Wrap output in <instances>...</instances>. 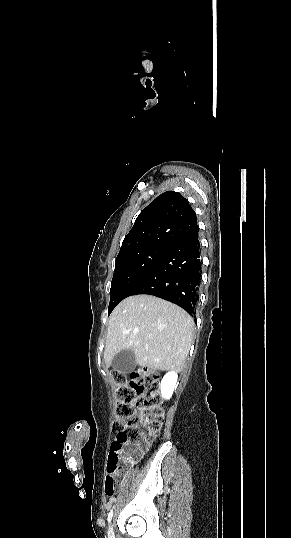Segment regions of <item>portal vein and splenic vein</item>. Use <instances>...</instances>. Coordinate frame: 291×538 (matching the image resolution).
Returning <instances> with one entry per match:
<instances>
[{"instance_id": "portal-vein-and-splenic-vein-1", "label": "portal vein and splenic vein", "mask_w": 291, "mask_h": 538, "mask_svg": "<svg viewBox=\"0 0 291 538\" xmlns=\"http://www.w3.org/2000/svg\"><path fill=\"white\" fill-rule=\"evenodd\" d=\"M134 332H135V333H138L139 331L136 329V330H134Z\"/></svg>"}]
</instances>
